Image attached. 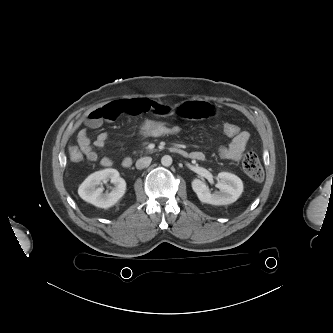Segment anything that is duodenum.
<instances>
[{"mask_svg": "<svg viewBox=\"0 0 333 333\" xmlns=\"http://www.w3.org/2000/svg\"><path fill=\"white\" fill-rule=\"evenodd\" d=\"M172 150H173L174 152L179 153V154H184V152H183L182 150L178 149V148H172ZM131 165H132V160H131L130 157H126V158L123 159V161H122V166H123L124 168H130Z\"/></svg>", "mask_w": 333, "mask_h": 333, "instance_id": "1", "label": "duodenum"}]
</instances>
